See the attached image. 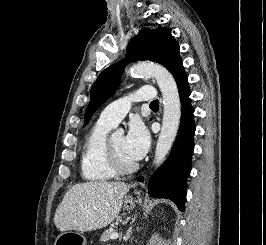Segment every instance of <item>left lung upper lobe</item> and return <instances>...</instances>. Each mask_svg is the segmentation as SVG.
<instances>
[{
	"instance_id": "1",
	"label": "left lung upper lobe",
	"mask_w": 266,
	"mask_h": 245,
	"mask_svg": "<svg viewBox=\"0 0 266 245\" xmlns=\"http://www.w3.org/2000/svg\"><path fill=\"white\" fill-rule=\"evenodd\" d=\"M179 52V45L169 28L141 29L129 42L126 58L106 68L93 84L84 125L89 122L98 107L118 89L127 62L150 60L165 66L171 72L173 66L181 60Z\"/></svg>"
}]
</instances>
